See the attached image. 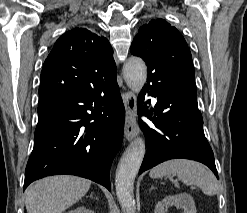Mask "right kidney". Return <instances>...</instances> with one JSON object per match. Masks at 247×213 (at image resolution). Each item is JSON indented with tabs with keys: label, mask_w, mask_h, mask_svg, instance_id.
Segmentation results:
<instances>
[{
	"label": "right kidney",
	"mask_w": 247,
	"mask_h": 213,
	"mask_svg": "<svg viewBox=\"0 0 247 213\" xmlns=\"http://www.w3.org/2000/svg\"><path fill=\"white\" fill-rule=\"evenodd\" d=\"M66 213H94V212L84 206H79L74 210L68 211Z\"/></svg>",
	"instance_id": "obj_1"
}]
</instances>
